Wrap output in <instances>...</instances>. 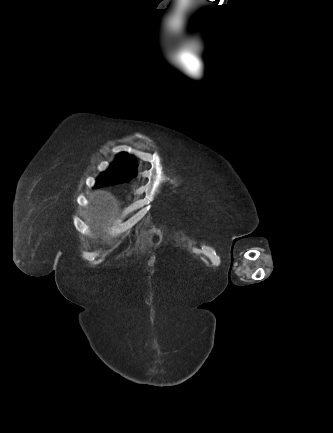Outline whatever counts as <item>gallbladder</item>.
Returning a JSON list of instances; mask_svg holds the SVG:
<instances>
[{
    "label": "gallbladder",
    "mask_w": 333,
    "mask_h": 433,
    "mask_svg": "<svg viewBox=\"0 0 333 433\" xmlns=\"http://www.w3.org/2000/svg\"><path fill=\"white\" fill-rule=\"evenodd\" d=\"M187 15H188V17L191 19V16H189V11H187Z\"/></svg>",
    "instance_id": "gallbladder-1"
}]
</instances>
